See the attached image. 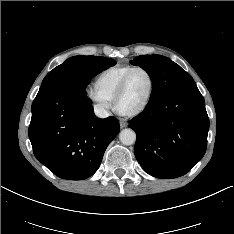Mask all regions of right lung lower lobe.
<instances>
[{
  "mask_svg": "<svg viewBox=\"0 0 234 234\" xmlns=\"http://www.w3.org/2000/svg\"><path fill=\"white\" fill-rule=\"evenodd\" d=\"M31 110L28 134L34 155L63 179L92 176L120 130L114 117L95 116L85 90L68 77L42 84Z\"/></svg>",
  "mask_w": 234,
  "mask_h": 234,
  "instance_id": "right-lung-lower-lobe-1",
  "label": "right lung lower lobe"
}]
</instances>
